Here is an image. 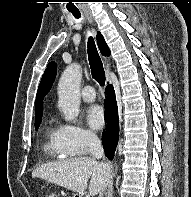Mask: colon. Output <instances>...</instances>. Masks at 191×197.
<instances>
[{
    "mask_svg": "<svg viewBox=\"0 0 191 197\" xmlns=\"http://www.w3.org/2000/svg\"><path fill=\"white\" fill-rule=\"evenodd\" d=\"M44 197H55L54 195H52V194H45V196Z\"/></svg>",
    "mask_w": 191,
    "mask_h": 197,
    "instance_id": "colon-1",
    "label": "colon"
}]
</instances>
